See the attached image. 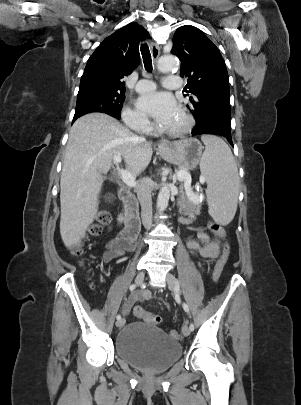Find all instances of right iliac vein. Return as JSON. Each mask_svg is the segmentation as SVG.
Returning a JSON list of instances; mask_svg holds the SVG:
<instances>
[{
	"label": "right iliac vein",
	"mask_w": 301,
	"mask_h": 405,
	"mask_svg": "<svg viewBox=\"0 0 301 405\" xmlns=\"http://www.w3.org/2000/svg\"><path fill=\"white\" fill-rule=\"evenodd\" d=\"M144 277H145L144 272H139L136 275L135 283L137 285H140L144 281ZM124 324H125V319L124 318L119 319V320L116 321V326L119 327V328H121Z\"/></svg>",
	"instance_id": "obj_1"
}]
</instances>
